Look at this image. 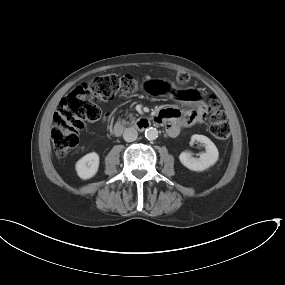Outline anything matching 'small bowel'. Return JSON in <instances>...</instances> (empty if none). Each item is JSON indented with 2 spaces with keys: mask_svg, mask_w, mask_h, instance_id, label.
<instances>
[{
  "mask_svg": "<svg viewBox=\"0 0 285 285\" xmlns=\"http://www.w3.org/2000/svg\"><path fill=\"white\" fill-rule=\"evenodd\" d=\"M157 116H162L165 124V131L170 136L178 134L182 127L188 126L193 121H202L205 118V114L200 105L193 110L182 112L179 109L171 105L162 107ZM189 116H193L195 119L192 121Z\"/></svg>",
  "mask_w": 285,
  "mask_h": 285,
  "instance_id": "1",
  "label": "small bowel"
}]
</instances>
